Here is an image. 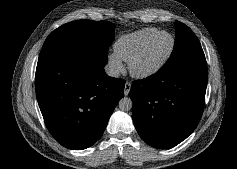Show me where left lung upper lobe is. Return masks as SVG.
Masks as SVG:
<instances>
[{
    "mask_svg": "<svg viewBox=\"0 0 237 169\" xmlns=\"http://www.w3.org/2000/svg\"><path fill=\"white\" fill-rule=\"evenodd\" d=\"M175 27L176 39L174 49L162 68L172 70L188 61L205 60L201 44L192 30L179 21L175 22Z\"/></svg>",
    "mask_w": 237,
    "mask_h": 169,
    "instance_id": "1",
    "label": "left lung upper lobe"
}]
</instances>
